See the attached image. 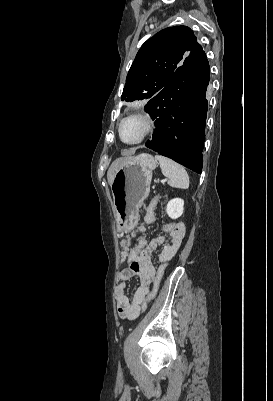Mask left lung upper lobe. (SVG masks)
<instances>
[{"mask_svg":"<svg viewBox=\"0 0 273 401\" xmlns=\"http://www.w3.org/2000/svg\"><path fill=\"white\" fill-rule=\"evenodd\" d=\"M197 38L186 26L163 29L138 51L127 74L122 101L152 99L169 82Z\"/></svg>","mask_w":273,"mask_h":401,"instance_id":"5c2ea615","label":"left lung upper lobe"}]
</instances>
